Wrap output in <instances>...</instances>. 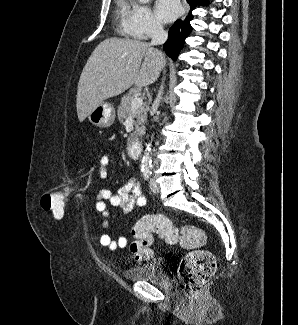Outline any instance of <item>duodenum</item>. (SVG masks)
I'll list each match as a JSON object with an SVG mask.
<instances>
[{
    "mask_svg": "<svg viewBox=\"0 0 298 325\" xmlns=\"http://www.w3.org/2000/svg\"><path fill=\"white\" fill-rule=\"evenodd\" d=\"M143 151V144L140 141H131L128 145V152L129 155L134 158L137 159L141 156Z\"/></svg>",
    "mask_w": 298,
    "mask_h": 325,
    "instance_id": "duodenum-1",
    "label": "duodenum"
}]
</instances>
